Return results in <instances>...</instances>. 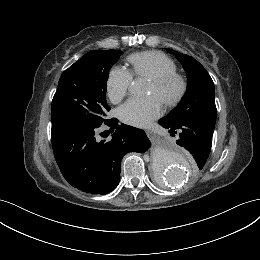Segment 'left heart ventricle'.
Wrapping results in <instances>:
<instances>
[{
	"label": "left heart ventricle",
	"instance_id": "left-heart-ventricle-1",
	"mask_svg": "<svg viewBox=\"0 0 260 260\" xmlns=\"http://www.w3.org/2000/svg\"><path fill=\"white\" fill-rule=\"evenodd\" d=\"M148 93H149V94H155L159 99L162 98L160 95H157V94H156L155 87H154V85H153L151 82H150V84H149Z\"/></svg>",
	"mask_w": 260,
	"mask_h": 260
}]
</instances>
